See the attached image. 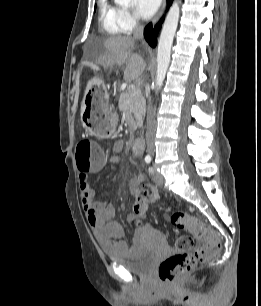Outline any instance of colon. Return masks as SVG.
<instances>
[{"instance_id":"5ec220e1","label":"colon","mask_w":261,"mask_h":306,"mask_svg":"<svg viewBox=\"0 0 261 306\" xmlns=\"http://www.w3.org/2000/svg\"><path fill=\"white\" fill-rule=\"evenodd\" d=\"M99 135L108 138L112 135L109 126L98 127ZM104 160L103 151L90 140H81L76 147V163L81 171H87ZM156 197L155 189L150 184L141 185L137 191L134 212L138 216L147 213L148 206ZM171 223L187 234L176 238L175 247L177 253L165 258L158 267V274L162 282L172 284L180 277L193 270L197 264L207 261L220 248V237L199 219L184 211H171L169 214ZM137 225H141L138 221ZM200 240L202 244L194 251L195 242Z\"/></svg>"}]
</instances>
